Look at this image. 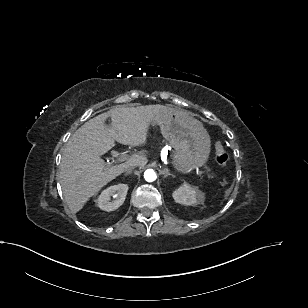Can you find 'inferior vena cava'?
<instances>
[{"label":"inferior vena cava","instance_id":"inferior-vena-cava-1","mask_svg":"<svg viewBox=\"0 0 308 308\" xmlns=\"http://www.w3.org/2000/svg\"><path fill=\"white\" fill-rule=\"evenodd\" d=\"M135 166H136V164H129L126 170L130 171V170H132Z\"/></svg>","mask_w":308,"mask_h":308}]
</instances>
